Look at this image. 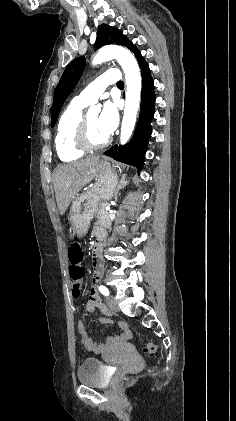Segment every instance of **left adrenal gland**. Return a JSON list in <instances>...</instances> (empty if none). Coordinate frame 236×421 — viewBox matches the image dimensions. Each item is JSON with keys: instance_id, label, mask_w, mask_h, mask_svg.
<instances>
[{"instance_id": "1", "label": "left adrenal gland", "mask_w": 236, "mask_h": 421, "mask_svg": "<svg viewBox=\"0 0 236 421\" xmlns=\"http://www.w3.org/2000/svg\"><path fill=\"white\" fill-rule=\"evenodd\" d=\"M126 176H127V174H122L121 180H120L119 184H117V188L115 190V202L117 200V192H119L120 188H123V186H126V184H128V182H129V180H126Z\"/></svg>"}]
</instances>
